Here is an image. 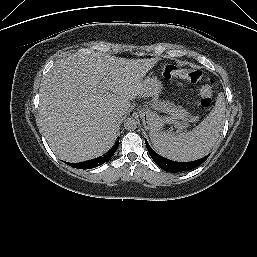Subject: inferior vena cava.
Returning <instances> with one entry per match:
<instances>
[{"mask_svg": "<svg viewBox=\"0 0 257 257\" xmlns=\"http://www.w3.org/2000/svg\"><path fill=\"white\" fill-rule=\"evenodd\" d=\"M113 120L116 121V122L120 121L121 120L120 115L119 114H114L113 115Z\"/></svg>", "mask_w": 257, "mask_h": 257, "instance_id": "obj_1", "label": "inferior vena cava"}]
</instances>
